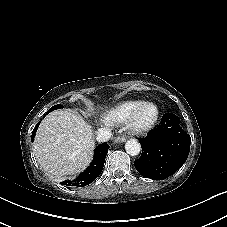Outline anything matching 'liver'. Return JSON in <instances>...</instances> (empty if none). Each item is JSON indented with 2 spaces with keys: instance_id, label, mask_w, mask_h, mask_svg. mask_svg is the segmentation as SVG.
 <instances>
[{
  "instance_id": "6515ba94",
  "label": "liver",
  "mask_w": 227,
  "mask_h": 227,
  "mask_svg": "<svg viewBox=\"0 0 227 227\" xmlns=\"http://www.w3.org/2000/svg\"><path fill=\"white\" fill-rule=\"evenodd\" d=\"M33 146L40 166L61 178L83 171L93 158L95 144L91 126L78 113L64 109L42 120Z\"/></svg>"
}]
</instances>
